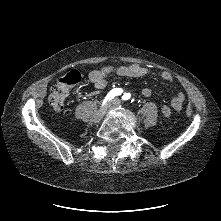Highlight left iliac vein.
<instances>
[{"instance_id": "4c4485c4", "label": "left iliac vein", "mask_w": 221, "mask_h": 221, "mask_svg": "<svg viewBox=\"0 0 221 221\" xmlns=\"http://www.w3.org/2000/svg\"><path fill=\"white\" fill-rule=\"evenodd\" d=\"M117 104H118V101H117V100H114L113 103L110 105V107H111V106H115V105H117Z\"/></svg>"}]
</instances>
